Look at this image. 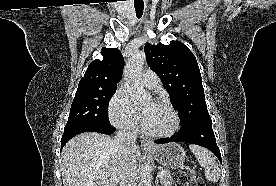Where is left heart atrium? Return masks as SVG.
I'll return each instance as SVG.
<instances>
[{
  "mask_svg": "<svg viewBox=\"0 0 276 186\" xmlns=\"http://www.w3.org/2000/svg\"><path fill=\"white\" fill-rule=\"evenodd\" d=\"M147 113H142V115H141V118H142V120H143V122L145 123V121H146V119H147Z\"/></svg>",
  "mask_w": 276,
  "mask_h": 186,
  "instance_id": "1",
  "label": "left heart atrium"
}]
</instances>
